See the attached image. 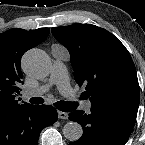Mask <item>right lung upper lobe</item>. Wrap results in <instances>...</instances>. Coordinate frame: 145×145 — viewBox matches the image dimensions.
Wrapping results in <instances>:
<instances>
[{
    "label": "right lung upper lobe",
    "instance_id": "right-lung-upper-lobe-1",
    "mask_svg": "<svg viewBox=\"0 0 145 145\" xmlns=\"http://www.w3.org/2000/svg\"><path fill=\"white\" fill-rule=\"evenodd\" d=\"M48 28L36 30L10 29L0 34V117L30 104L15 100L19 93L23 54L43 42L49 35Z\"/></svg>",
    "mask_w": 145,
    "mask_h": 145
}]
</instances>
